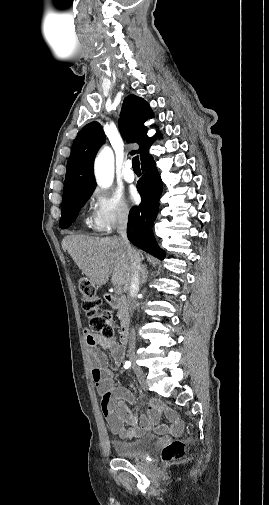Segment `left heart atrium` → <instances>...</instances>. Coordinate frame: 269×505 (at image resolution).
<instances>
[{
    "label": "left heart atrium",
    "mask_w": 269,
    "mask_h": 505,
    "mask_svg": "<svg viewBox=\"0 0 269 505\" xmlns=\"http://www.w3.org/2000/svg\"><path fill=\"white\" fill-rule=\"evenodd\" d=\"M129 196H130V200L132 202H135L137 200V193L134 190L130 191V195Z\"/></svg>",
    "instance_id": "obj_1"
}]
</instances>
